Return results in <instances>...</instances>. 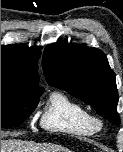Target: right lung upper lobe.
Returning a JSON list of instances; mask_svg holds the SVG:
<instances>
[{"mask_svg": "<svg viewBox=\"0 0 123 152\" xmlns=\"http://www.w3.org/2000/svg\"><path fill=\"white\" fill-rule=\"evenodd\" d=\"M39 47L27 45L1 46V79H11L22 88L43 91L38 86L39 75L37 62L40 58Z\"/></svg>", "mask_w": 123, "mask_h": 152, "instance_id": "right-lung-upper-lobe-1", "label": "right lung upper lobe"}]
</instances>
